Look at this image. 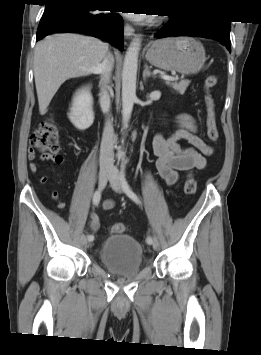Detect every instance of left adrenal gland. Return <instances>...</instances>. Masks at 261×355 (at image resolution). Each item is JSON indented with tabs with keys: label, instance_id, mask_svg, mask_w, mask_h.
<instances>
[{
	"label": "left adrenal gland",
	"instance_id": "1",
	"mask_svg": "<svg viewBox=\"0 0 261 355\" xmlns=\"http://www.w3.org/2000/svg\"><path fill=\"white\" fill-rule=\"evenodd\" d=\"M148 77H155V75L153 73H151V71L148 69V65L145 64L144 65V71H143V80L144 82L146 81V78Z\"/></svg>",
	"mask_w": 261,
	"mask_h": 355
}]
</instances>
